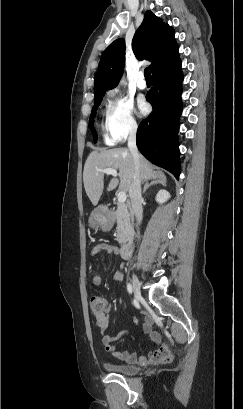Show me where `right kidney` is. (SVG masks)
Returning <instances> with one entry per match:
<instances>
[{"instance_id":"ca27d5eb","label":"right kidney","mask_w":243,"mask_h":409,"mask_svg":"<svg viewBox=\"0 0 243 409\" xmlns=\"http://www.w3.org/2000/svg\"><path fill=\"white\" fill-rule=\"evenodd\" d=\"M169 198H170V193L167 190L162 189L158 191L155 200L158 203L162 204L166 202Z\"/></svg>"}]
</instances>
